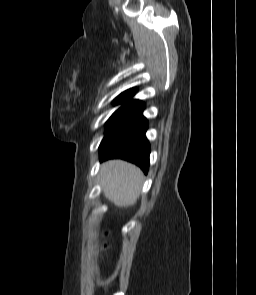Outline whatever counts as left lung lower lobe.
<instances>
[{
    "label": "left lung lower lobe",
    "instance_id": "left-lung-lower-lobe-1",
    "mask_svg": "<svg viewBox=\"0 0 256 295\" xmlns=\"http://www.w3.org/2000/svg\"><path fill=\"white\" fill-rule=\"evenodd\" d=\"M143 108L104 136L99 146L100 161L121 158L138 165L147 173L150 145L145 136L148 122L142 115Z\"/></svg>",
    "mask_w": 256,
    "mask_h": 295
}]
</instances>
